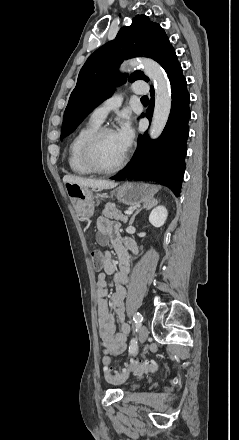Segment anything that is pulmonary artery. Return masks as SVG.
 <instances>
[{"instance_id": "pulmonary-artery-1", "label": "pulmonary artery", "mask_w": 239, "mask_h": 440, "mask_svg": "<svg viewBox=\"0 0 239 440\" xmlns=\"http://www.w3.org/2000/svg\"><path fill=\"white\" fill-rule=\"evenodd\" d=\"M132 90L137 94H141L145 91V89L139 87L138 83H134L132 85ZM120 104H121V99L119 97L109 98L100 105H98L96 108H94V110L90 115V119L96 123L101 124L105 120L108 112L118 108Z\"/></svg>"}]
</instances>
